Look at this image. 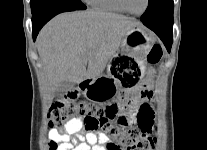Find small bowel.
<instances>
[{
	"mask_svg": "<svg viewBox=\"0 0 207 150\" xmlns=\"http://www.w3.org/2000/svg\"><path fill=\"white\" fill-rule=\"evenodd\" d=\"M50 140L58 144L57 150H106L110 141L105 133L84 132L81 119L69 120L63 129H51Z\"/></svg>",
	"mask_w": 207,
	"mask_h": 150,
	"instance_id": "1",
	"label": "small bowel"
}]
</instances>
